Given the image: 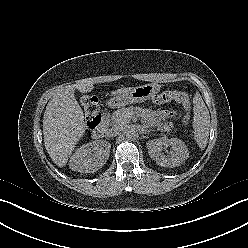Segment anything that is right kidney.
<instances>
[{
  "label": "right kidney",
  "mask_w": 248,
  "mask_h": 248,
  "mask_svg": "<svg viewBox=\"0 0 248 248\" xmlns=\"http://www.w3.org/2000/svg\"><path fill=\"white\" fill-rule=\"evenodd\" d=\"M111 145L104 140L86 143L70 157L69 167L81 173H94L108 160Z\"/></svg>",
  "instance_id": "right-kidney-1"
}]
</instances>
